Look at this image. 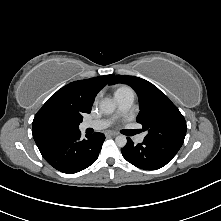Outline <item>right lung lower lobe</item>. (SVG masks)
<instances>
[{"instance_id":"right-lung-lower-lobe-1","label":"right lung lower lobe","mask_w":221,"mask_h":221,"mask_svg":"<svg viewBox=\"0 0 221 221\" xmlns=\"http://www.w3.org/2000/svg\"><path fill=\"white\" fill-rule=\"evenodd\" d=\"M81 138L77 130L63 132L38 146L44 159L63 173H76L93 164L101 151L105 136L95 132Z\"/></svg>"}]
</instances>
